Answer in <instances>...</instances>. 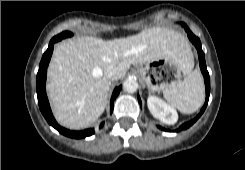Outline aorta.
Here are the masks:
<instances>
[{
  "label": "aorta",
  "mask_w": 245,
  "mask_h": 170,
  "mask_svg": "<svg viewBox=\"0 0 245 170\" xmlns=\"http://www.w3.org/2000/svg\"><path fill=\"white\" fill-rule=\"evenodd\" d=\"M123 89L128 93H134L138 89V83L135 79H126L123 83Z\"/></svg>",
  "instance_id": "762f6f07"
}]
</instances>
